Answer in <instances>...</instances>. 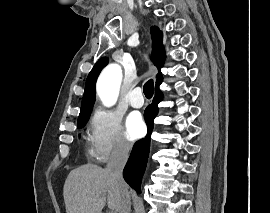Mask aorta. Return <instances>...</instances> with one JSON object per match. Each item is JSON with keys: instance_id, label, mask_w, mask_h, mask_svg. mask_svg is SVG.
Returning <instances> with one entry per match:
<instances>
[{"instance_id": "obj_1", "label": "aorta", "mask_w": 270, "mask_h": 213, "mask_svg": "<svg viewBox=\"0 0 270 213\" xmlns=\"http://www.w3.org/2000/svg\"><path fill=\"white\" fill-rule=\"evenodd\" d=\"M122 77V69L118 64L108 65L100 74L97 81V94L104 106L111 107L116 103Z\"/></svg>"}]
</instances>
